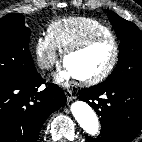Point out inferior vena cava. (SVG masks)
<instances>
[{"instance_id": "obj_1", "label": "inferior vena cava", "mask_w": 142, "mask_h": 142, "mask_svg": "<svg viewBox=\"0 0 142 142\" xmlns=\"http://www.w3.org/2000/svg\"><path fill=\"white\" fill-rule=\"evenodd\" d=\"M51 67H52V65H51L50 62H47V63L44 65V68H51Z\"/></svg>"}]
</instances>
